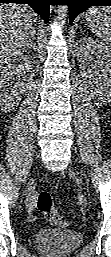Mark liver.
<instances>
[{
	"instance_id": "1",
	"label": "liver",
	"mask_w": 111,
	"mask_h": 257,
	"mask_svg": "<svg viewBox=\"0 0 111 257\" xmlns=\"http://www.w3.org/2000/svg\"><path fill=\"white\" fill-rule=\"evenodd\" d=\"M39 20L27 5L2 3L0 5V64L7 66L18 57L31 41Z\"/></svg>"
}]
</instances>
